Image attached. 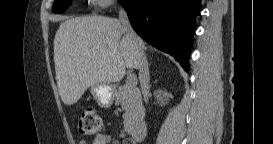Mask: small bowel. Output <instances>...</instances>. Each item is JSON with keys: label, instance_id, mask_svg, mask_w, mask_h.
Wrapping results in <instances>:
<instances>
[{"label": "small bowel", "instance_id": "1", "mask_svg": "<svg viewBox=\"0 0 273 144\" xmlns=\"http://www.w3.org/2000/svg\"><path fill=\"white\" fill-rule=\"evenodd\" d=\"M110 143H115V141L105 134L97 135L93 141V144H110ZM125 143H130V142H125ZM80 144H86V141L82 140L80 141Z\"/></svg>", "mask_w": 273, "mask_h": 144}]
</instances>
